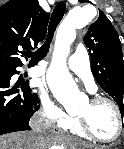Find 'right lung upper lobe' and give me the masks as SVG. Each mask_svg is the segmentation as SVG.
Masks as SVG:
<instances>
[{"instance_id":"right-lung-upper-lobe-1","label":"right lung upper lobe","mask_w":124,"mask_h":149,"mask_svg":"<svg viewBox=\"0 0 124 149\" xmlns=\"http://www.w3.org/2000/svg\"><path fill=\"white\" fill-rule=\"evenodd\" d=\"M50 14L38 0H9L0 7V69L22 66V56L43 41Z\"/></svg>"}]
</instances>
